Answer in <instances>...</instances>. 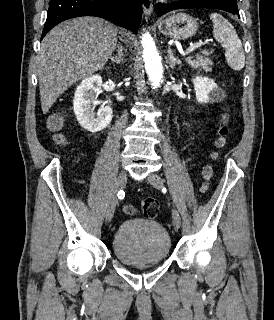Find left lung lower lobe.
I'll list each match as a JSON object with an SVG mask.
<instances>
[{"instance_id":"left-lung-lower-lobe-1","label":"left lung lower lobe","mask_w":274,"mask_h":320,"mask_svg":"<svg viewBox=\"0 0 274 320\" xmlns=\"http://www.w3.org/2000/svg\"><path fill=\"white\" fill-rule=\"evenodd\" d=\"M191 8H212L220 9L239 16L237 2L230 0H181L174 3H157L155 5V13L157 16L176 10V9H191Z\"/></svg>"}]
</instances>
